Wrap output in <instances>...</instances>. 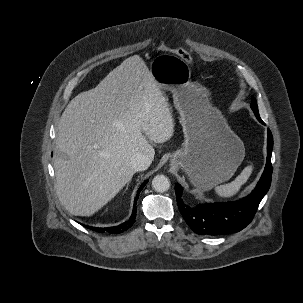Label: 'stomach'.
<instances>
[{"mask_svg":"<svg viewBox=\"0 0 303 303\" xmlns=\"http://www.w3.org/2000/svg\"><path fill=\"white\" fill-rule=\"evenodd\" d=\"M150 73L160 89L172 92L183 127V147L173 153L171 165L181 168L199 190L228 181L242 163L245 147L210 104V92L191 82L190 67L175 55L154 58Z\"/></svg>","mask_w":303,"mask_h":303,"instance_id":"0dacf381","label":"stomach"}]
</instances>
